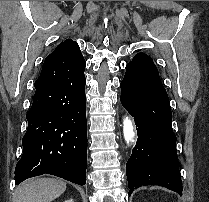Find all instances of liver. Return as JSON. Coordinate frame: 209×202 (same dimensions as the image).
<instances>
[{
	"mask_svg": "<svg viewBox=\"0 0 209 202\" xmlns=\"http://www.w3.org/2000/svg\"><path fill=\"white\" fill-rule=\"evenodd\" d=\"M65 190L66 183L59 179H30L16 188L13 202H51Z\"/></svg>",
	"mask_w": 209,
	"mask_h": 202,
	"instance_id": "6515ba94",
	"label": "liver"
}]
</instances>
